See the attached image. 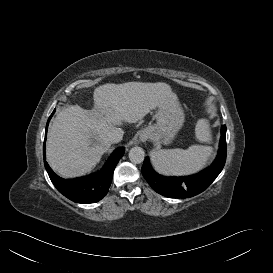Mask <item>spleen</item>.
<instances>
[{
  "label": "spleen",
  "instance_id": "3e777b00",
  "mask_svg": "<svg viewBox=\"0 0 273 273\" xmlns=\"http://www.w3.org/2000/svg\"><path fill=\"white\" fill-rule=\"evenodd\" d=\"M196 138L202 142L212 140L207 120H198L195 127ZM212 153L211 146L192 145L188 149H164L153 153L152 161L155 168L165 174H188L202 168Z\"/></svg>",
  "mask_w": 273,
  "mask_h": 273
}]
</instances>
